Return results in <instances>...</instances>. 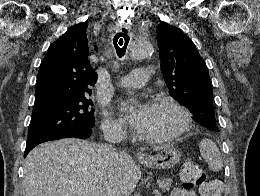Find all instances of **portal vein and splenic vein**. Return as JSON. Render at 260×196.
<instances>
[{"instance_id":"18ae733b","label":"portal vein and splenic vein","mask_w":260,"mask_h":196,"mask_svg":"<svg viewBox=\"0 0 260 196\" xmlns=\"http://www.w3.org/2000/svg\"><path fill=\"white\" fill-rule=\"evenodd\" d=\"M156 196H161V194H160V193H157Z\"/></svg>"}]
</instances>
